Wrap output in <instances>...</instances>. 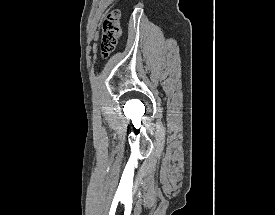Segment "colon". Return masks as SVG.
Returning <instances> with one entry per match:
<instances>
[{
	"label": "colon",
	"instance_id": "colon-1",
	"mask_svg": "<svg viewBox=\"0 0 275 215\" xmlns=\"http://www.w3.org/2000/svg\"><path fill=\"white\" fill-rule=\"evenodd\" d=\"M120 11L112 9L108 12L102 27L100 50L104 57H108L115 49L121 36Z\"/></svg>",
	"mask_w": 275,
	"mask_h": 215
}]
</instances>
